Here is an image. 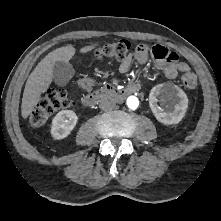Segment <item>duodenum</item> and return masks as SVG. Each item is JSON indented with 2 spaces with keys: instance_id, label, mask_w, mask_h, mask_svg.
<instances>
[{
  "instance_id": "1",
  "label": "duodenum",
  "mask_w": 221,
  "mask_h": 221,
  "mask_svg": "<svg viewBox=\"0 0 221 221\" xmlns=\"http://www.w3.org/2000/svg\"><path fill=\"white\" fill-rule=\"evenodd\" d=\"M139 91L137 84H130L123 89H118L111 85H105L95 92L83 97L82 103L86 106H92L106 97H112L118 100L124 99L126 96L134 94Z\"/></svg>"
}]
</instances>
